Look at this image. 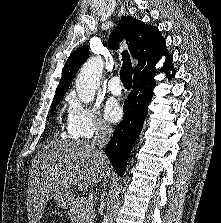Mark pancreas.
<instances>
[{"mask_svg": "<svg viewBox=\"0 0 221 223\" xmlns=\"http://www.w3.org/2000/svg\"><path fill=\"white\" fill-rule=\"evenodd\" d=\"M72 223H92L95 217L92 203H86L85 198L73 199L68 210Z\"/></svg>", "mask_w": 221, "mask_h": 223, "instance_id": "obj_1", "label": "pancreas"}]
</instances>
